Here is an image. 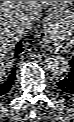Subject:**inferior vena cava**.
I'll list each match as a JSON object with an SVG mask.
<instances>
[{"instance_id": "602c4592", "label": "inferior vena cava", "mask_w": 74, "mask_h": 122, "mask_svg": "<svg viewBox=\"0 0 74 122\" xmlns=\"http://www.w3.org/2000/svg\"><path fill=\"white\" fill-rule=\"evenodd\" d=\"M31 26V21L28 20L27 22H24L22 24V30H24V28L28 29Z\"/></svg>"}]
</instances>
